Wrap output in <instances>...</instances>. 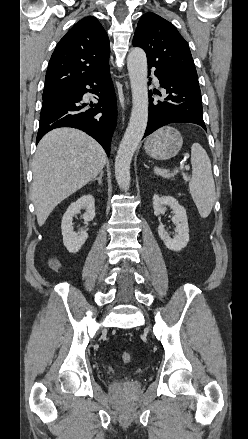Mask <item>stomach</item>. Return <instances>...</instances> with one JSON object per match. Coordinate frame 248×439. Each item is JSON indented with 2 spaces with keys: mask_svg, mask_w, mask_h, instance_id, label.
<instances>
[{
  "mask_svg": "<svg viewBox=\"0 0 248 439\" xmlns=\"http://www.w3.org/2000/svg\"><path fill=\"white\" fill-rule=\"evenodd\" d=\"M183 144V138L173 127H163L145 141L146 153L154 159L166 160L174 157Z\"/></svg>",
  "mask_w": 248,
  "mask_h": 439,
  "instance_id": "1",
  "label": "stomach"
}]
</instances>
